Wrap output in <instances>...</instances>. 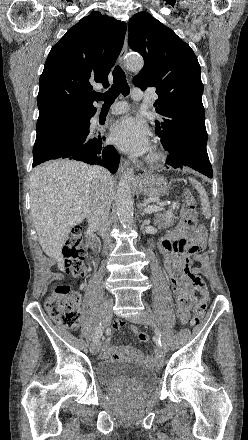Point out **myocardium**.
Masks as SVG:
<instances>
[{"mask_svg":"<svg viewBox=\"0 0 248 440\" xmlns=\"http://www.w3.org/2000/svg\"><path fill=\"white\" fill-rule=\"evenodd\" d=\"M163 158V154L159 149L154 148L152 152L147 157V163L150 166L158 164Z\"/></svg>","mask_w":248,"mask_h":440,"instance_id":"1","label":"myocardium"}]
</instances>
